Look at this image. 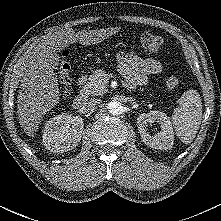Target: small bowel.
I'll return each mask as SVG.
<instances>
[{
	"label": "small bowel",
	"instance_id": "c3829d8e",
	"mask_svg": "<svg viewBox=\"0 0 221 221\" xmlns=\"http://www.w3.org/2000/svg\"><path fill=\"white\" fill-rule=\"evenodd\" d=\"M117 59L128 89L145 86L148 75H158L164 70L163 62L156 58H141L134 53L121 52Z\"/></svg>",
	"mask_w": 221,
	"mask_h": 221
}]
</instances>
